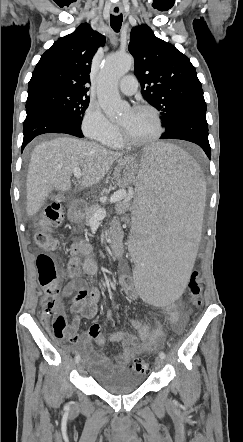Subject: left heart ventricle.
Masks as SVG:
<instances>
[{
	"label": "left heart ventricle",
	"instance_id": "1",
	"mask_svg": "<svg viewBox=\"0 0 243 442\" xmlns=\"http://www.w3.org/2000/svg\"><path fill=\"white\" fill-rule=\"evenodd\" d=\"M126 135L136 141L152 137L157 131V123L150 111H133L130 109L119 122Z\"/></svg>",
	"mask_w": 243,
	"mask_h": 442
}]
</instances>
